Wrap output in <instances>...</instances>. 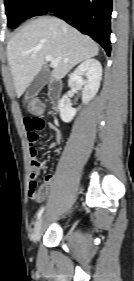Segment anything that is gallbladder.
Here are the masks:
<instances>
[{"instance_id": "1", "label": "gallbladder", "mask_w": 134, "mask_h": 281, "mask_svg": "<svg viewBox=\"0 0 134 281\" xmlns=\"http://www.w3.org/2000/svg\"><path fill=\"white\" fill-rule=\"evenodd\" d=\"M50 72L46 69H42L32 80L27 91L26 100L37 95L41 89L50 81Z\"/></svg>"}]
</instances>
